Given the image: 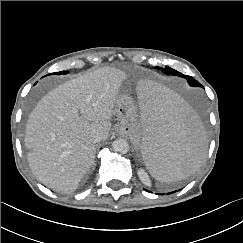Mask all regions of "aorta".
<instances>
[{
    "mask_svg": "<svg viewBox=\"0 0 243 243\" xmlns=\"http://www.w3.org/2000/svg\"><path fill=\"white\" fill-rule=\"evenodd\" d=\"M112 148L115 152L125 154L129 151V144L126 140L124 139H116L113 144Z\"/></svg>",
    "mask_w": 243,
    "mask_h": 243,
    "instance_id": "1",
    "label": "aorta"
}]
</instances>
